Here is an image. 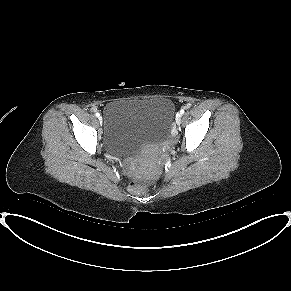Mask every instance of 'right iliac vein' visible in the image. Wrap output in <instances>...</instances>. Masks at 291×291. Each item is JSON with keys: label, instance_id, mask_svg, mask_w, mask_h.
Instances as JSON below:
<instances>
[{"label": "right iliac vein", "instance_id": "63e3f726", "mask_svg": "<svg viewBox=\"0 0 291 291\" xmlns=\"http://www.w3.org/2000/svg\"><path fill=\"white\" fill-rule=\"evenodd\" d=\"M98 119H99V121H101V120H102V117H101V116H99V117H98Z\"/></svg>", "mask_w": 291, "mask_h": 291}]
</instances>
